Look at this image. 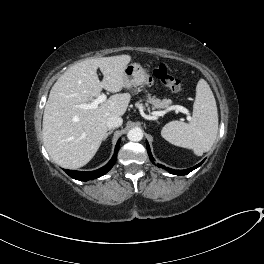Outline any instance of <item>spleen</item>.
<instances>
[{"mask_svg":"<svg viewBox=\"0 0 264 264\" xmlns=\"http://www.w3.org/2000/svg\"><path fill=\"white\" fill-rule=\"evenodd\" d=\"M192 118L189 123L171 121L161 130L162 137L173 145L188 148L201 156L213 146L218 132V111L213 92L204 79L196 86Z\"/></svg>","mask_w":264,"mask_h":264,"instance_id":"spleen-1","label":"spleen"}]
</instances>
